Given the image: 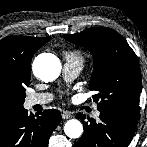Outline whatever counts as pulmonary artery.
Instances as JSON below:
<instances>
[{
	"label": "pulmonary artery",
	"instance_id": "e3ab8cb5",
	"mask_svg": "<svg viewBox=\"0 0 147 147\" xmlns=\"http://www.w3.org/2000/svg\"><path fill=\"white\" fill-rule=\"evenodd\" d=\"M82 69V62L79 60L66 59L63 66V75L65 80L71 81L75 79ZM53 96L50 93H35L26 98L25 105L27 108H31L34 105L47 104L52 100ZM93 116L98 118L100 116L99 111H95Z\"/></svg>",
	"mask_w": 147,
	"mask_h": 147
}]
</instances>
